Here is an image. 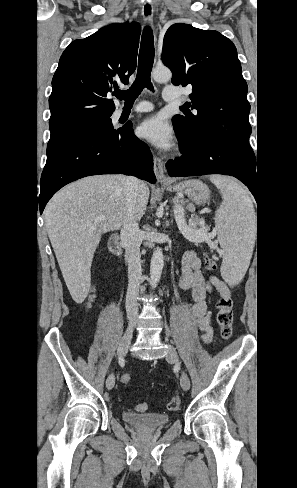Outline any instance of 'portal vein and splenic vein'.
Instances as JSON below:
<instances>
[{"mask_svg": "<svg viewBox=\"0 0 297 488\" xmlns=\"http://www.w3.org/2000/svg\"><path fill=\"white\" fill-rule=\"evenodd\" d=\"M174 207H175V220H176L177 225L183 230L188 229L191 233H198V231L191 229L186 225L185 218H184V216H185L184 208L182 206H180L178 203H175ZM104 218H105V215L101 214L96 218V221H101Z\"/></svg>", "mask_w": 297, "mask_h": 488, "instance_id": "1", "label": "portal vein and splenic vein"}]
</instances>
